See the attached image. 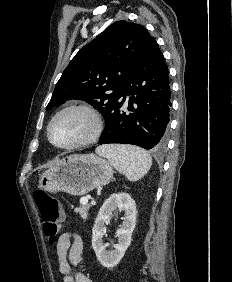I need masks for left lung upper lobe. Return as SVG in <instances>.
I'll return each instance as SVG.
<instances>
[{
  "mask_svg": "<svg viewBox=\"0 0 232 282\" xmlns=\"http://www.w3.org/2000/svg\"><path fill=\"white\" fill-rule=\"evenodd\" d=\"M152 38L136 23L121 20L109 26L75 55L57 82L46 110L79 99L100 110L105 118Z\"/></svg>",
  "mask_w": 232,
  "mask_h": 282,
  "instance_id": "1",
  "label": "left lung upper lobe"
}]
</instances>
